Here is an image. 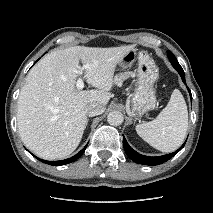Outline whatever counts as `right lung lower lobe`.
<instances>
[{"label":"right lung lower lobe","mask_w":213,"mask_h":213,"mask_svg":"<svg viewBox=\"0 0 213 213\" xmlns=\"http://www.w3.org/2000/svg\"><path fill=\"white\" fill-rule=\"evenodd\" d=\"M86 147H87V145L76 155H74L71 158L65 159V160H61V161H45V160H41V159H39V160L46 164L53 165V166H60V165L68 164V163L76 161L84 153Z\"/></svg>","instance_id":"1"}]
</instances>
